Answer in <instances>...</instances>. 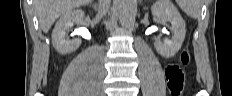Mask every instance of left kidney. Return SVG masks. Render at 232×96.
<instances>
[{"instance_id":"obj_1","label":"left kidney","mask_w":232,"mask_h":96,"mask_svg":"<svg viewBox=\"0 0 232 96\" xmlns=\"http://www.w3.org/2000/svg\"><path fill=\"white\" fill-rule=\"evenodd\" d=\"M151 11L159 22L168 21L171 23L172 38L164 41L155 38L154 47L162 57H173L185 39V21L169 0H158L151 7Z\"/></svg>"}]
</instances>
